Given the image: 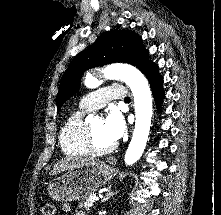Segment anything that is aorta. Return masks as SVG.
Returning a JSON list of instances; mask_svg holds the SVG:
<instances>
[{
    "mask_svg": "<svg viewBox=\"0 0 221 215\" xmlns=\"http://www.w3.org/2000/svg\"><path fill=\"white\" fill-rule=\"evenodd\" d=\"M106 79L121 80L128 85L134 97L135 128L132 139L125 153L126 165H133L142 156L151 127L152 118V94L145 76L135 67L128 64H112L103 69ZM87 87H93V78L85 80ZM92 115L87 120H92Z\"/></svg>",
    "mask_w": 221,
    "mask_h": 215,
    "instance_id": "obj_1",
    "label": "aorta"
}]
</instances>
